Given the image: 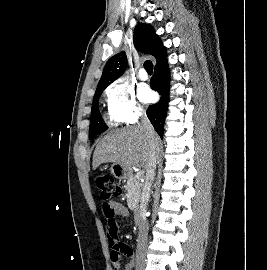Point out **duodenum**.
I'll return each instance as SVG.
<instances>
[{
  "instance_id": "duodenum-1",
  "label": "duodenum",
  "mask_w": 267,
  "mask_h": 270,
  "mask_svg": "<svg viewBox=\"0 0 267 270\" xmlns=\"http://www.w3.org/2000/svg\"><path fill=\"white\" fill-rule=\"evenodd\" d=\"M144 211L140 208H137L135 211V221L136 224L139 226L142 224L143 220H144Z\"/></svg>"
}]
</instances>
